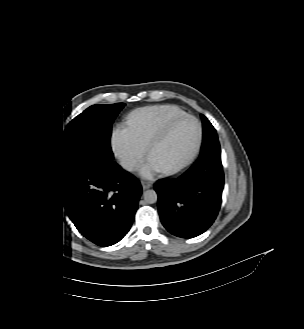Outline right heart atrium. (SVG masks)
I'll list each match as a JSON object with an SVG mask.
<instances>
[{"mask_svg":"<svg viewBox=\"0 0 304 329\" xmlns=\"http://www.w3.org/2000/svg\"><path fill=\"white\" fill-rule=\"evenodd\" d=\"M116 155L128 166L137 168L143 164V151L137 147L126 129H116L112 136Z\"/></svg>","mask_w":304,"mask_h":329,"instance_id":"obj_1","label":"right heart atrium"}]
</instances>
